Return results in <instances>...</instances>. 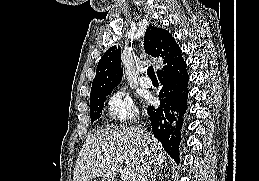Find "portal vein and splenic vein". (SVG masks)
Returning <instances> with one entry per match:
<instances>
[{"instance_id": "1", "label": "portal vein and splenic vein", "mask_w": 259, "mask_h": 181, "mask_svg": "<svg viewBox=\"0 0 259 181\" xmlns=\"http://www.w3.org/2000/svg\"><path fill=\"white\" fill-rule=\"evenodd\" d=\"M123 159H125V157H123ZM129 176H130V171L128 169H124L121 171V180L122 181H128L129 180Z\"/></svg>"}]
</instances>
